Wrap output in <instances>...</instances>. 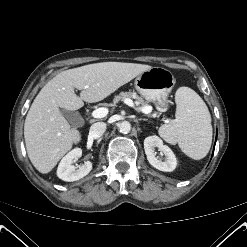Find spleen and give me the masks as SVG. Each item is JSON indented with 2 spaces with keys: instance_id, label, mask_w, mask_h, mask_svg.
<instances>
[{
  "instance_id": "spleen-1",
  "label": "spleen",
  "mask_w": 247,
  "mask_h": 247,
  "mask_svg": "<svg viewBox=\"0 0 247 247\" xmlns=\"http://www.w3.org/2000/svg\"><path fill=\"white\" fill-rule=\"evenodd\" d=\"M175 119L159 128L160 136L168 143L178 144L192 159L204 158L212 143L209 110L202 98L189 87H180L175 94Z\"/></svg>"
}]
</instances>
